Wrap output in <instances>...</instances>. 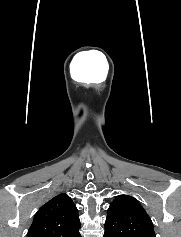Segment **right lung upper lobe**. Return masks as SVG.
<instances>
[{
  "instance_id": "obj_1",
  "label": "right lung upper lobe",
  "mask_w": 181,
  "mask_h": 237,
  "mask_svg": "<svg viewBox=\"0 0 181 237\" xmlns=\"http://www.w3.org/2000/svg\"><path fill=\"white\" fill-rule=\"evenodd\" d=\"M80 220L77 208L66 194H59L35 214L27 237H78Z\"/></svg>"
}]
</instances>
